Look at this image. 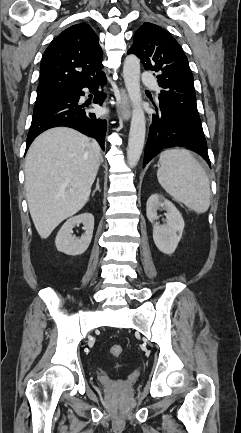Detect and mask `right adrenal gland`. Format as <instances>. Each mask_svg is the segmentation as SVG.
Masks as SVG:
<instances>
[{
    "instance_id": "obj_1",
    "label": "right adrenal gland",
    "mask_w": 241,
    "mask_h": 433,
    "mask_svg": "<svg viewBox=\"0 0 241 433\" xmlns=\"http://www.w3.org/2000/svg\"><path fill=\"white\" fill-rule=\"evenodd\" d=\"M97 191L101 192V189H100V180H99V178H97V181H96V188L93 190V192H92V196H94L95 193H96Z\"/></svg>"
}]
</instances>
